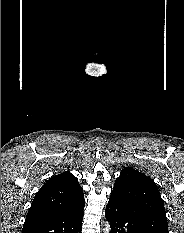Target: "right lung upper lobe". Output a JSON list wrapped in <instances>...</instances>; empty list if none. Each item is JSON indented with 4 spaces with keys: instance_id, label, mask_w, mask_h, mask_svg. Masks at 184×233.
Returning <instances> with one entry per match:
<instances>
[{
    "instance_id": "cb5924a9",
    "label": "right lung upper lobe",
    "mask_w": 184,
    "mask_h": 233,
    "mask_svg": "<svg viewBox=\"0 0 184 233\" xmlns=\"http://www.w3.org/2000/svg\"><path fill=\"white\" fill-rule=\"evenodd\" d=\"M84 210V194L69 172L51 177L38 191L26 216L24 228L73 216Z\"/></svg>"
}]
</instances>
